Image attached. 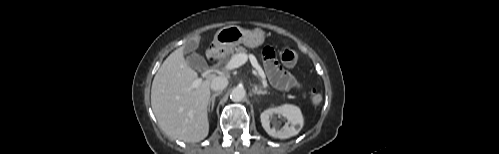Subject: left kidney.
Listing matches in <instances>:
<instances>
[{
	"label": "left kidney",
	"mask_w": 499,
	"mask_h": 154,
	"mask_svg": "<svg viewBox=\"0 0 499 154\" xmlns=\"http://www.w3.org/2000/svg\"><path fill=\"white\" fill-rule=\"evenodd\" d=\"M275 114L282 115L288 121L280 130L270 127V119ZM260 118L265 131L270 136L280 139H287L297 135L304 123L300 108L291 104L269 108L261 113Z\"/></svg>",
	"instance_id": "left-kidney-1"
}]
</instances>
